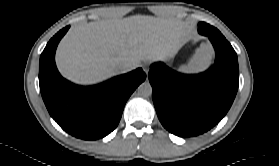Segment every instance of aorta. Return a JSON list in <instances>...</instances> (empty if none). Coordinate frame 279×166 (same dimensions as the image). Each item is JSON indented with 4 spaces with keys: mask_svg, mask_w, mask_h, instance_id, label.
<instances>
[{
    "mask_svg": "<svg viewBox=\"0 0 279 166\" xmlns=\"http://www.w3.org/2000/svg\"><path fill=\"white\" fill-rule=\"evenodd\" d=\"M138 94L142 97H149L152 94V86L149 82L145 81L138 87Z\"/></svg>",
    "mask_w": 279,
    "mask_h": 166,
    "instance_id": "1",
    "label": "aorta"
}]
</instances>
